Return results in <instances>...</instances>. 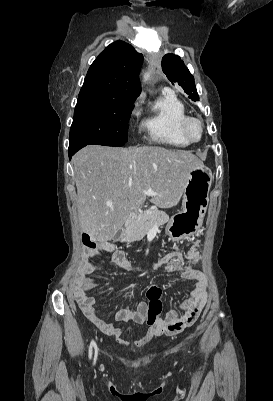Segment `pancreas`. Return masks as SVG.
I'll list each match as a JSON object with an SVG mask.
<instances>
[{
  "label": "pancreas",
  "mask_w": 273,
  "mask_h": 401,
  "mask_svg": "<svg viewBox=\"0 0 273 401\" xmlns=\"http://www.w3.org/2000/svg\"><path fill=\"white\" fill-rule=\"evenodd\" d=\"M169 221L168 215L164 211L153 209L152 213H140L136 221L126 223V239L127 241H141L148 231L153 227H160Z\"/></svg>",
  "instance_id": "1"
}]
</instances>
